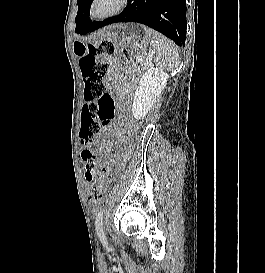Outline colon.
Returning a JSON list of instances; mask_svg holds the SVG:
<instances>
[{"label": "colon", "mask_w": 265, "mask_h": 273, "mask_svg": "<svg viewBox=\"0 0 265 273\" xmlns=\"http://www.w3.org/2000/svg\"><path fill=\"white\" fill-rule=\"evenodd\" d=\"M116 47L112 40H103L97 47H89L80 58V68L84 79V100L80 124V146H87L80 152L85 167V177L93 183L90 198L98 199L102 195L103 182L110 170L109 165L97 157V152L105 148V141L97 139L102 130L115 115V104L107 93L104 83L108 66L97 55H111ZM124 58L129 59L127 52Z\"/></svg>", "instance_id": "1"}]
</instances>
